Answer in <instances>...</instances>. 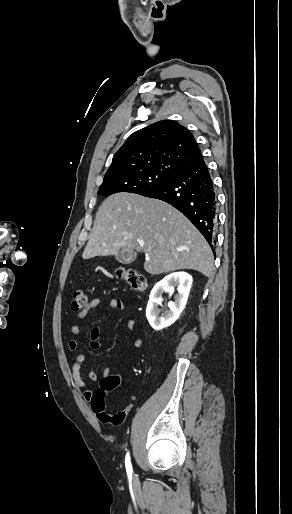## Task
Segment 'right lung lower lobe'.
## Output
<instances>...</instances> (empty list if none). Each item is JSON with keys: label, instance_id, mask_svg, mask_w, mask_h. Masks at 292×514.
<instances>
[{"label": "right lung lower lobe", "instance_id": "98d812e1", "mask_svg": "<svg viewBox=\"0 0 292 514\" xmlns=\"http://www.w3.org/2000/svg\"><path fill=\"white\" fill-rule=\"evenodd\" d=\"M143 196L163 200L181 211L212 247L217 198L205 162L180 170Z\"/></svg>", "mask_w": 292, "mask_h": 514}]
</instances>
